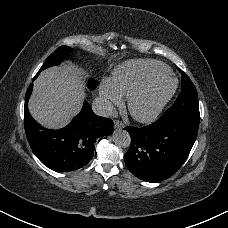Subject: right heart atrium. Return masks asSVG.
Instances as JSON below:
<instances>
[{"instance_id":"obj_1","label":"right heart atrium","mask_w":228,"mask_h":228,"mask_svg":"<svg viewBox=\"0 0 228 228\" xmlns=\"http://www.w3.org/2000/svg\"><path fill=\"white\" fill-rule=\"evenodd\" d=\"M100 98L107 107L122 103V94L109 80H103L100 84Z\"/></svg>"}]
</instances>
